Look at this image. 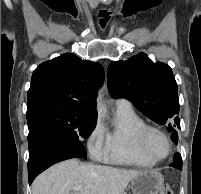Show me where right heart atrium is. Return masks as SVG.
<instances>
[{
    "mask_svg": "<svg viewBox=\"0 0 201 194\" xmlns=\"http://www.w3.org/2000/svg\"><path fill=\"white\" fill-rule=\"evenodd\" d=\"M104 130L100 121H97L87 137L89 151L94 157H99L104 150Z\"/></svg>",
    "mask_w": 201,
    "mask_h": 194,
    "instance_id": "1",
    "label": "right heart atrium"
}]
</instances>
